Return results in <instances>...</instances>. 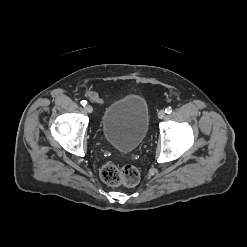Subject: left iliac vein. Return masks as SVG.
Segmentation results:
<instances>
[{
	"instance_id": "1",
	"label": "left iliac vein",
	"mask_w": 247,
	"mask_h": 247,
	"mask_svg": "<svg viewBox=\"0 0 247 247\" xmlns=\"http://www.w3.org/2000/svg\"><path fill=\"white\" fill-rule=\"evenodd\" d=\"M158 117L160 119H163L165 117V111L164 110H160L159 113H158Z\"/></svg>"
}]
</instances>
